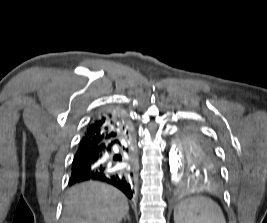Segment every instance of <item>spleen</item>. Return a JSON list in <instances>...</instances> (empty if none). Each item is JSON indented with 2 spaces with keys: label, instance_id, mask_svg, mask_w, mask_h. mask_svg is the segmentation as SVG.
<instances>
[{
  "label": "spleen",
  "instance_id": "3e777b00",
  "mask_svg": "<svg viewBox=\"0 0 267 223\" xmlns=\"http://www.w3.org/2000/svg\"><path fill=\"white\" fill-rule=\"evenodd\" d=\"M174 222L226 223L219 205L210 198L203 196H196L181 201L174 209Z\"/></svg>",
  "mask_w": 267,
  "mask_h": 223
}]
</instances>
